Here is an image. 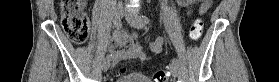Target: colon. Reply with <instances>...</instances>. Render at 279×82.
Masks as SVG:
<instances>
[{"label": "colon", "instance_id": "colon-1", "mask_svg": "<svg viewBox=\"0 0 279 82\" xmlns=\"http://www.w3.org/2000/svg\"><path fill=\"white\" fill-rule=\"evenodd\" d=\"M84 0H58L63 29L67 36L76 44H83L89 35L90 25L84 13ZM212 1H203V10ZM204 29L201 19L195 20L189 30V36L193 41L200 39ZM126 73V68L121 67L117 70L118 75ZM154 82H167L168 74L165 70H158L153 75Z\"/></svg>", "mask_w": 279, "mask_h": 82}]
</instances>
